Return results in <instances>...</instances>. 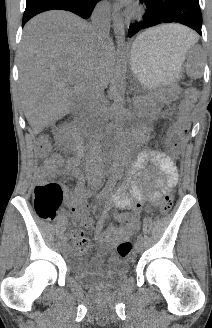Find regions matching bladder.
<instances>
[{
    "instance_id": "31cf9c89",
    "label": "bladder",
    "mask_w": 212,
    "mask_h": 328,
    "mask_svg": "<svg viewBox=\"0 0 212 328\" xmlns=\"http://www.w3.org/2000/svg\"><path fill=\"white\" fill-rule=\"evenodd\" d=\"M70 271L74 279L83 287L97 291H107L120 287L128 279L126 271H113L106 274L93 273L84 257H73Z\"/></svg>"
}]
</instances>
